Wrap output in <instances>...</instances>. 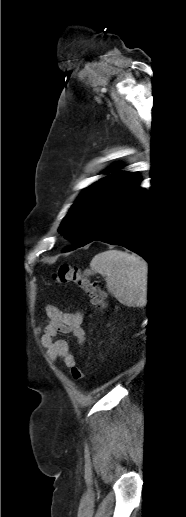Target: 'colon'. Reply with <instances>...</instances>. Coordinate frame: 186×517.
Returning a JSON list of instances; mask_svg holds the SVG:
<instances>
[{
    "label": "colon",
    "mask_w": 186,
    "mask_h": 517,
    "mask_svg": "<svg viewBox=\"0 0 186 517\" xmlns=\"http://www.w3.org/2000/svg\"><path fill=\"white\" fill-rule=\"evenodd\" d=\"M54 279L59 284H74L81 288L96 310H102L106 305V295L97 282L89 280L79 267L64 264L54 274ZM71 375L79 381L84 377V370L80 366H72Z\"/></svg>",
    "instance_id": "5ec220e1"
}]
</instances>
